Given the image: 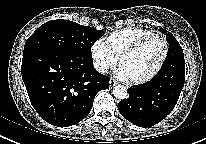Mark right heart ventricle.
I'll use <instances>...</instances> for the list:
<instances>
[{"mask_svg": "<svg viewBox=\"0 0 206 144\" xmlns=\"http://www.w3.org/2000/svg\"><path fill=\"white\" fill-rule=\"evenodd\" d=\"M151 35H154V33L150 30L129 27L113 31L105 40L111 50L119 56V54L129 45Z\"/></svg>", "mask_w": 206, "mask_h": 144, "instance_id": "1", "label": "right heart ventricle"}]
</instances>
